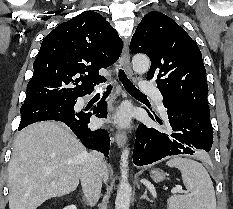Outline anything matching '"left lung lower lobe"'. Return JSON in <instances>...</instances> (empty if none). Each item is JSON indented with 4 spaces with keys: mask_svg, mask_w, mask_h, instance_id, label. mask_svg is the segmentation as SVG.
Here are the masks:
<instances>
[{
    "mask_svg": "<svg viewBox=\"0 0 233 209\" xmlns=\"http://www.w3.org/2000/svg\"><path fill=\"white\" fill-rule=\"evenodd\" d=\"M163 103L169 119L168 131L139 125L133 151V162L137 166L166 156L193 154L194 148L208 152L212 147L213 129L209 117L185 107L171 109ZM148 114L162 125L159 117L149 111Z\"/></svg>",
    "mask_w": 233,
    "mask_h": 209,
    "instance_id": "0a47b994",
    "label": "left lung lower lobe"
}]
</instances>
